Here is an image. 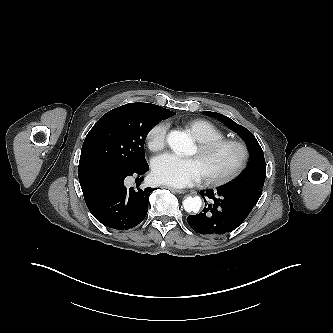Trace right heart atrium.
Here are the masks:
<instances>
[{
	"label": "right heart atrium",
	"mask_w": 333,
	"mask_h": 333,
	"mask_svg": "<svg viewBox=\"0 0 333 333\" xmlns=\"http://www.w3.org/2000/svg\"><path fill=\"white\" fill-rule=\"evenodd\" d=\"M167 130L166 122H159L150 128L146 140L151 151H159L165 146Z\"/></svg>",
	"instance_id": "d8ad5b80"
}]
</instances>
